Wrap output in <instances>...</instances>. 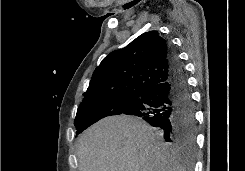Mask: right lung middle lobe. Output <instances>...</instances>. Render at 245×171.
I'll use <instances>...</instances> for the list:
<instances>
[{
	"label": "right lung middle lobe",
	"mask_w": 245,
	"mask_h": 171,
	"mask_svg": "<svg viewBox=\"0 0 245 171\" xmlns=\"http://www.w3.org/2000/svg\"><path fill=\"white\" fill-rule=\"evenodd\" d=\"M138 98L137 95H119L105 99L82 101L74 121L76 134L81 133L106 116L122 114L124 109Z\"/></svg>",
	"instance_id": "obj_1"
}]
</instances>
